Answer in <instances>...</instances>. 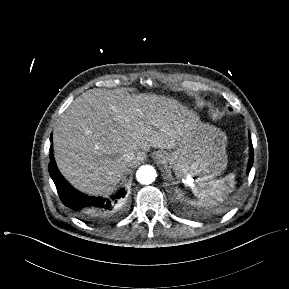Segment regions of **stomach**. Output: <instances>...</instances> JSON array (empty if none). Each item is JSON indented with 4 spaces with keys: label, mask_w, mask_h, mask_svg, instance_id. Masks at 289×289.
<instances>
[{
    "label": "stomach",
    "mask_w": 289,
    "mask_h": 289,
    "mask_svg": "<svg viewBox=\"0 0 289 289\" xmlns=\"http://www.w3.org/2000/svg\"><path fill=\"white\" fill-rule=\"evenodd\" d=\"M226 144L223 131L194 115L176 149L168 155V162L178 177L213 179L227 167Z\"/></svg>",
    "instance_id": "obj_1"
}]
</instances>
